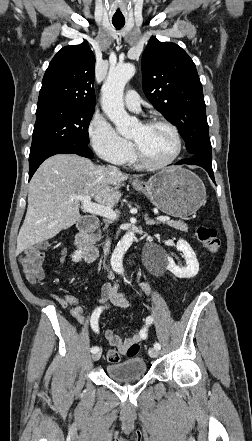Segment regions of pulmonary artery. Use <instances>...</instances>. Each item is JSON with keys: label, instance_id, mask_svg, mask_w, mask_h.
I'll return each instance as SVG.
<instances>
[{"label": "pulmonary artery", "instance_id": "1", "mask_svg": "<svg viewBox=\"0 0 252 441\" xmlns=\"http://www.w3.org/2000/svg\"><path fill=\"white\" fill-rule=\"evenodd\" d=\"M124 104L132 111H139L141 108V100L138 93L134 90H129L124 98Z\"/></svg>", "mask_w": 252, "mask_h": 441}]
</instances>
